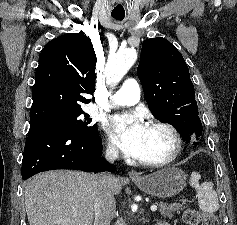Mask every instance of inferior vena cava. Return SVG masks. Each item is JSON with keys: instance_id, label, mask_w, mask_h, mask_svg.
<instances>
[{"instance_id": "602c4592", "label": "inferior vena cava", "mask_w": 237, "mask_h": 225, "mask_svg": "<svg viewBox=\"0 0 237 225\" xmlns=\"http://www.w3.org/2000/svg\"><path fill=\"white\" fill-rule=\"evenodd\" d=\"M105 158L109 162H114L118 158V149L108 145ZM116 180L113 175L106 173L96 177V186L93 190L94 225H110L115 215L116 204L112 188Z\"/></svg>"}]
</instances>
